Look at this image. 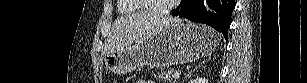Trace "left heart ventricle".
<instances>
[{
	"mask_svg": "<svg viewBox=\"0 0 307 83\" xmlns=\"http://www.w3.org/2000/svg\"><path fill=\"white\" fill-rule=\"evenodd\" d=\"M171 1L172 0H145V3L150 10H157L160 7L167 5Z\"/></svg>",
	"mask_w": 307,
	"mask_h": 83,
	"instance_id": "left-heart-ventricle-1",
	"label": "left heart ventricle"
}]
</instances>
